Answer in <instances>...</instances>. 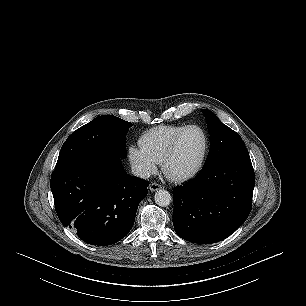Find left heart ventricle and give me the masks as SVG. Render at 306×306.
<instances>
[{
  "mask_svg": "<svg viewBox=\"0 0 306 306\" xmlns=\"http://www.w3.org/2000/svg\"><path fill=\"white\" fill-rule=\"evenodd\" d=\"M204 150V136L200 130H188L180 141L178 151L168 170L172 175L185 174L198 164Z\"/></svg>",
  "mask_w": 306,
  "mask_h": 306,
  "instance_id": "obj_1",
  "label": "left heart ventricle"
}]
</instances>
